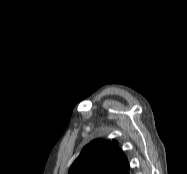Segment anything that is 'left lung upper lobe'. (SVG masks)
Instances as JSON below:
<instances>
[{
	"instance_id": "left-lung-upper-lobe-1",
	"label": "left lung upper lobe",
	"mask_w": 187,
	"mask_h": 174,
	"mask_svg": "<svg viewBox=\"0 0 187 174\" xmlns=\"http://www.w3.org/2000/svg\"><path fill=\"white\" fill-rule=\"evenodd\" d=\"M68 174H129V164L117 141L96 139L83 148Z\"/></svg>"
}]
</instances>
